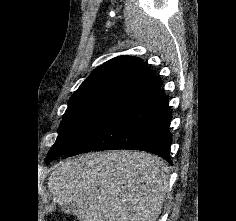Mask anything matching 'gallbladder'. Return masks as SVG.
Masks as SVG:
<instances>
[{"instance_id":"1","label":"gallbladder","mask_w":236,"mask_h":221,"mask_svg":"<svg viewBox=\"0 0 236 221\" xmlns=\"http://www.w3.org/2000/svg\"><path fill=\"white\" fill-rule=\"evenodd\" d=\"M62 209L68 214H73V205L72 204H66V205L62 206Z\"/></svg>"}]
</instances>
